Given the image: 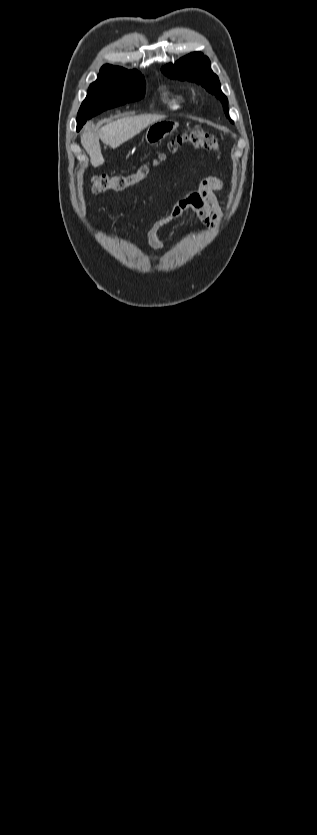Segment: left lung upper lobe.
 I'll return each instance as SVG.
<instances>
[{
	"mask_svg": "<svg viewBox=\"0 0 317 835\" xmlns=\"http://www.w3.org/2000/svg\"><path fill=\"white\" fill-rule=\"evenodd\" d=\"M162 72L172 78L189 80L201 84L207 91L220 99L225 114L229 116L228 100L221 91L219 79L211 70L208 57L204 56L201 52H193L182 57L174 65L169 64L163 68ZM230 121L233 123L231 119Z\"/></svg>",
	"mask_w": 317,
	"mask_h": 835,
	"instance_id": "5c2ea615",
	"label": "left lung upper lobe"
}]
</instances>
